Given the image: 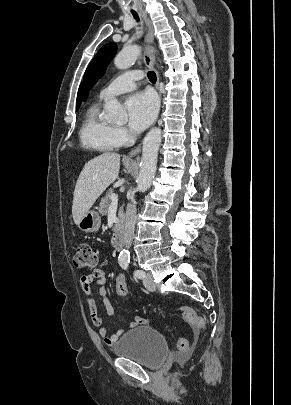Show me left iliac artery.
I'll list each match as a JSON object with an SVG mask.
<instances>
[{
    "instance_id": "left-iliac-artery-1",
    "label": "left iliac artery",
    "mask_w": 291,
    "mask_h": 405,
    "mask_svg": "<svg viewBox=\"0 0 291 405\" xmlns=\"http://www.w3.org/2000/svg\"><path fill=\"white\" fill-rule=\"evenodd\" d=\"M120 265H121V267H122L123 269L126 270V269L128 268V266H129V261L121 262ZM134 275H135L137 278L141 279V278H143V277L145 276V273H144V271H142V270H135V271H134Z\"/></svg>"
}]
</instances>
